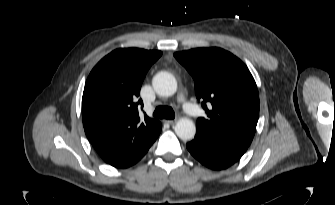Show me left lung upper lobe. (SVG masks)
Wrapping results in <instances>:
<instances>
[{
  "mask_svg": "<svg viewBox=\"0 0 335 205\" xmlns=\"http://www.w3.org/2000/svg\"><path fill=\"white\" fill-rule=\"evenodd\" d=\"M174 56L192 75L196 97L207 114L197 119L196 129L249 146L259 118V95L247 66L220 48H196Z\"/></svg>",
  "mask_w": 335,
  "mask_h": 205,
  "instance_id": "obj_1",
  "label": "left lung upper lobe"
}]
</instances>
